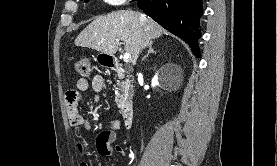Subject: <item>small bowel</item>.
I'll use <instances>...</instances> for the list:
<instances>
[{"label": "small bowel", "mask_w": 277, "mask_h": 166, "mask_svg": "<svg viewBox=\"0 0 277 166\" xmlns=\"http://www.w3.org/2000/svg\"><path fill=\"white\" fill-rule=\"evenodd\" d=\"M104 78L101 75H95L91 81L87 78H79L76 82V88L66 93V111L71 126L74 128L84 127L85 130L91 132V125L88 117H83L79 113L80 93L92 88L94 92V104L99 101V94L104 88ZM120 128V121L116 120L110 127L100 132L96 137V148L102 156H117L122 157L125 151L122 147L115 145V134ZM86 141L81 139L78 143V148L81 153H84ZM79 166H89L86 161H81Z\"/></svg>", "instance_id": "c3829d8e"}]
</instances>
